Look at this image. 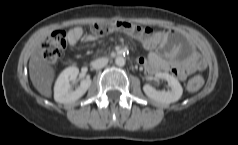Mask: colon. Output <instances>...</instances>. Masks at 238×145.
Returning <instances> with one entry per match:
<instances>
[{"mask_svg":"<svg viewBox=\"0 0 238 145\" xmlns=\"http://www.w3.org/2000/svg\"><path fill=\"white\" fill-rule=\"evenodd\" d=\"M113 32H123L142 42L149 41L156 36V32L150 27H143L127 21H113L106 23H96L91 28V34L99 37ZM67 46V35L63 30L53 31L42 43V54L50 64L56 63L62 56ZM203 85L200 76L193 77L188 82L190 91H197Z\"/></svg>","mask_w":238,"mask_h":145,"instance_id":"1","label":"colon"}]
</instances>
